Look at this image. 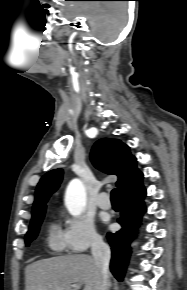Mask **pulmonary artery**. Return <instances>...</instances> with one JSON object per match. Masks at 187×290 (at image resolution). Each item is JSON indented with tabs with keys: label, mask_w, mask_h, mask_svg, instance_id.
<instances>
[{
	"label": "pulmonary artery",
	"mask_w": 187,
	"mask_h": 290,
	"mask_svg": "<svg viewBox=\"0 0 187 290\" xmlns=\"http://www.w3.org/2000/svg\"><path fill=\"white\" fill-rule=\"evenodd\" d=\"M97 205L101 209H109L111 207V202L109 200L107 193L102 192L98 195Z\"/></svg>",
	"instance_id": "pulmonary-artery-1"
}]
</instances>
